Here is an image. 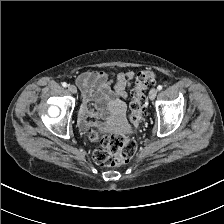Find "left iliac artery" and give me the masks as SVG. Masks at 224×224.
I'll return each mask as SVG.
<instances>
[{"mask_svg":"<svg viewBox=\"0 0 224 224\" xmlns=\"http://www.w3.org/2000/svg\"><path fill=\"white\" fill-rule=\"evenodd\" d=\"M163 86L162 85H158L157 89L158 90H162Z\"/></svg>","mask_w":224,"mask_h":224,"instance_id":"obj_1","label":"left iliac artery"}]
</instances>
